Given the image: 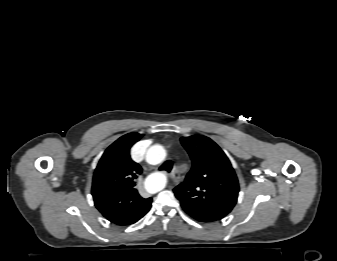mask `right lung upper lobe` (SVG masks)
<instances>
[{
  "label": "right lung upper lobe",
  "instance_id": "right-lung-upper-lobe-1",
  "mask_svg": "<svg viewBox=\"0 0 337 261\" xmlns=\"http://www.w3.org/2000/svg\"><path fill=\"white\" fill-rule=\"evenodd\" d=\"M143 134L129 133L110 145L101 157L93 176L95 206L109 221L130 225L150 209L152 199L142 198L136 184L142 168L130 157V148Z\"/></svg>",
  "mask_w": 337,
  "mask_h": 261
}]
</instances>
